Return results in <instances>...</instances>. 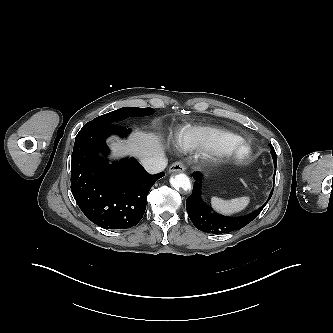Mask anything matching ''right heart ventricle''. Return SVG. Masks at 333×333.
Instances as JSON below:
<instances>
[{"mask_svg":"<svg viewBox=\"0 0 333 333\" xmlns=\"http://www.w3.org/2000/svg\"><path fill=\"white\" fill-rule=\"evenodd\" d=\"M238 137L222 128L208 125H188L175 135V144L184 151H213L220 143Z\"/></svg>","mask_w":333,"mask_h":333,"instance_id":"obj_1","label":"right heart ventricle"}]
</instances>
